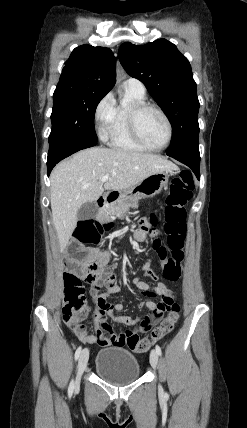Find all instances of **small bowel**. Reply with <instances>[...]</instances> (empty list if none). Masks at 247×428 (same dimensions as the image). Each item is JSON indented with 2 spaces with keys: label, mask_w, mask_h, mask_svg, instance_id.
Here are the masks:
<instances>
[{
  "label": "small bowel",
  "mask_w": 247,
  "mask_h": 428,
  "mask_svg": "<svg viewBox=\"0 0 247 428\" xmlns=\"http://www.w3.org/2000/svg\"><path fill=\"white\" fill-rule=\"evenodd\" d=\"M133 238L138 242L145 241L147 238L146 229L145 228L138 229L134 233ZM110 256H111V252L109 251L97 252V261L101 267L102 278L97 284L91 285L90 294L96 300L98 306H102L105 309L106 315L112 321L120 324L130 325V326L137 325L138 322L147 320L149 317L148 316L149 313L146 316L137 317V318H132L130 316H125V315H118L117 313L123 310V305L121 303H115L110 299V296L112 294H115L119 291V288L116 284L115 276L113 273L114 266L109 265ZM142 271L144 273L151 274V260H148L143 265ZM75 273L79 277L83 278V273L80 266H78L75 269ZM151 277L155 278V275L151 274ZM134 285L136 289L139 291V293L145 297H149V298L159 297V298L173 299L172 291L163 282H159L154 286H150L149 284L137 278L134 280ZM103 287L106 288L105 292L101 291ZM74 333L78 337V339L87 343H96L102 347L112 345V343L102 335H101L102 337L101 340L98 341L96 340L94 335L88 334L86 331H84L83 333H76V332Z\"/></svg>",
  "instance_id": "obj_1"
}]
</instances>
